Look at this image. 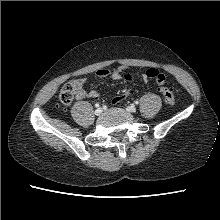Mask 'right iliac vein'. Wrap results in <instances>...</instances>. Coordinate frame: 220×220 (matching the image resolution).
I'll list each match as a JSON object with an SVG mask.
<instances>
[{"label": "right iliac vein", "instance_id": "right-iliac-vein-1", "mask_svg": "<svg viewBox=\"0 0 220 220\" xmlns=\"http://www.w3.org/2000/svg\"><path fill=\"white\" fill-rule=\"evenodd\" d=\"M94 113H95V115L99 116L102 113V109L101 108H97Z\"/></svg>", "mask_w": 220, "mask_h": 220}]
</instances>
